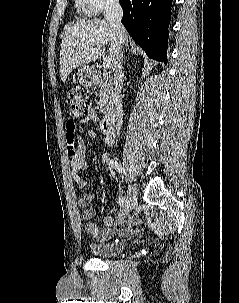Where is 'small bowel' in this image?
<instances>
[{
	"instance_id": "1",
	"label": "small bowel",
	"mask_w": 239,
	"mask_h": 303,
	"mask_svg": "<svg viewBox=\"0 0 239 303\" xmlns=\"http://www.w3.org/2000/svg\"><path fill=\"white\" fill-rule=\"evenodd\" d=\"M98 116L94 110L84 119V122H97ZM88 135L92 139L102 140L107 146L112 145L113 139L109 137L102 130L97 132L93 129L88 131ZM66 145L70 157L72 177L77 186L85 190L88 186L87 181L80 175L81 172L88 169L85 161L86 145L84 139L76 133L74 127L70 130L67 127ZM94 199V193L85 192L78 198V206L83 209L82 216L86 223L84 225L85 231L97 240H108L112 236H128L131 234L135 225L141 223V219L136 216L129 217H114L106 216L103 219V227L100 228L90 220L97 214L98 209L89 207Z\"/></svg>"
}]
</instances>
